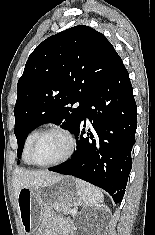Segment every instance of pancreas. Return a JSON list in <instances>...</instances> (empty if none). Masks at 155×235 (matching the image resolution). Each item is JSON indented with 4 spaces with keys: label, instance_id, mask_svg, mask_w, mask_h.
Returning a JSON list of instances; mask_svg holds the SVG:
<instances>
[{
    "label": "pancreas",
    "instance_id": "obj_1",
    "mask_svg": "<svg viewBox=\"0 0 155 235\" xmlns=\"http://www.w3.org/2000/svg\"><path fill=\"white\" fill-rule=\"evenodd\" d=\"M59 211L65 213V214H69L70 213V210L67 209V208H64V207H61V208H58Z\"/></svg>",
    "mask_w": 155,
    "mask_h": 235
}]
</instances>
